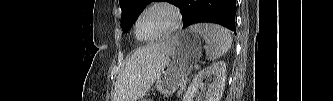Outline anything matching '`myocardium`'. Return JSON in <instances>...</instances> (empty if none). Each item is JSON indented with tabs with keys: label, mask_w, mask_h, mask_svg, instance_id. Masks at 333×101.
Instances as JSON below:
<instances>
[{
	"label": "myocardium",
	"mask_w": 333,
	"mask_h": 101,
	"mask_svg": "<svg viewBox=\"0 0 333 101\" xmlns=\"http://www.w3.org/2000/svg\"><path fill=\"white\" fill-rule=\"evenodd\" d=\"M166 9L168 11H170L173 16H174V23L172 25V27L165 33L154 37V38H144L141 36L140 32H139V22L141 20V18L143 17V15H145L147 12L153 10V9ZM182 20H183V16L182 13L180 11V9L175 6L172 3H168V2H156L148 7H146L145 9H143L137 16L136 20H135V25H134V29H135V34L137 36L138 39H140L141 41L144 42H154L157 40H161L164 39L166 37H169L170 35H172L173 33H175L181 26L182 24Z\"/></svg>",
	"instance_id": "1"
}]
</instances>
